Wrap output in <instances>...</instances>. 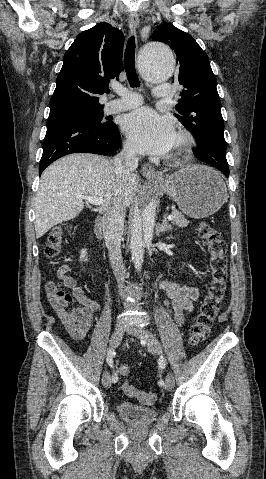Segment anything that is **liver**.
I'll list each match as a JSON object with an SVG mask.
<instances>
[{
  "instance_id": "6515ba94",
  "label": "liver",
  "mask_w": 266,
  "mask_h": 479,
  "mask_svg": "<svg viewBox=\"0 0 266 479\" xmlns=\"http://www.w3.org/2000/svg\"><path fill=\"white\" fill-rule=\"evenodd\" d=\"M139 177L119 178L113 162L89 153L65 156L42 174L35 198V233L42 237L53 226L76 218L84 208L75 195L101 197L99 212L118 199L126 208L133 202Z\"/></svg>"
}]
</instances>
